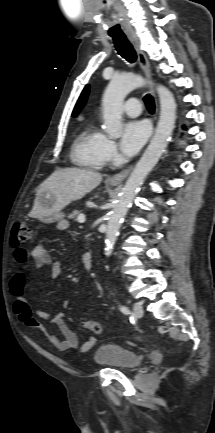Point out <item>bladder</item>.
Masks as SVG:
<instances>
[{"label":"bladder","mask_w":215,"mask_h":433,"mask_svg":"<svg viewBox=\"0 0 215 433\" xmlns=\"http://www.w3.org/2000/svg\"><path fill=\"white\" fill-rule=\"evenodd\" d=\"M93 359L97 365L121 370H133L142 363L139 354L116 344L99 346L94 352Z\"/></svg>","instance_id":"obj_1"}]
</instances>
